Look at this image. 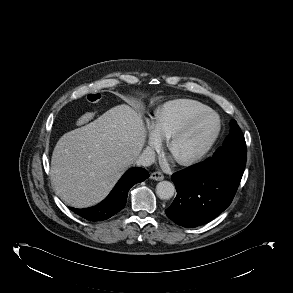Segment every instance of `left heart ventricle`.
<instances>
[{"mask_svg": "<svg viewBox=\"0 0 293 293\" xmlns=\"http://www.w3.org/2000/svg\"><path fill=\"white\" fill-rule=\"evenodd\" d=\"M214 127L215 120L212 117L198 122L189 132L174 143L171 151L173 157L182 160L195 155L210 137Z\"/></svg>", "mask_w": 293, "mask_h": 293, "instance_id": "obj_1", "label": "left heart ventricle"}]
</instances>
